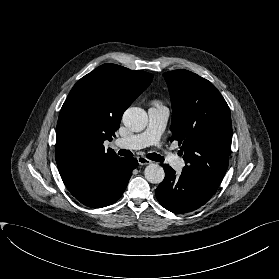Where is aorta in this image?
<instances>
[{
	"label": "aorta",
	"instance_id": "aorta-1",
	"mask_svg": "<svg viewBox=\"0 0 279 279\" xmlns=\"http://www.w3.org/2000/svg\"><path fill=\"white\" fill-rule=\"evenodd\" d=\"M123 124L133 132L142 131L147 125V113L139 107H130L123 114ZM145 178L152 184L163 181L165 173L158 164H149L144 171Z\"/></svg>",
	"mask_w": 279,
	"mask_h": 279
}]
</instances>
